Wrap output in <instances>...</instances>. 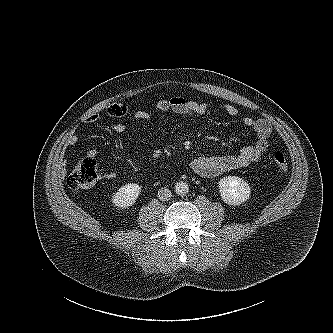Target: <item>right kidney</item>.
I'll return each instance as SVG.
<instances>
[{"label":"right kidney","instance_id":"ca27d5eb","mask_svg":"<svg viewBox=\"0 0 333 333\" xmlns=\"http://www.w3.org/2000/svg\"><path fill=\"white\" fill-rule=\"evenodd\" d=\"M141 192V186L136 183L126 184L118 189L112 195L111 201L113 205L120 209H126L132 206Z\"/></svg>","mask_w":333,"mask_h":333}]
</instances>
